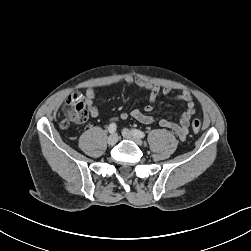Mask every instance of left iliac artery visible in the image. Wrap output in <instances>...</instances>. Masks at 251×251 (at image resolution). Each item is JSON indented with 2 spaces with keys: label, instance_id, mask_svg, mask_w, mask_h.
<instances>
[{
  "label": "left iliac artery",
  "instance_id": "1",
  "mask_svg": "<svg viewBox=\"0 0 251 251\" xmlns=\"http://www.w3.org/2000/svg\"><path fill=\"white\" fill-rule=\"evenodd\" d=\"M133 133H134L136 136L140 137V138H144V137H145V133H144L143 131H141V130L134 129V130H133Z\"/></svg>",
  "mask_w": 251,
  "mask_h": 251
}]
</instances>
